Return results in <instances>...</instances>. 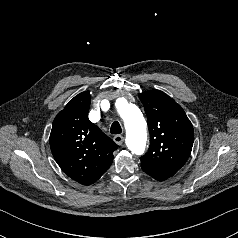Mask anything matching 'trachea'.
Instances as JSON below:
<instances>
[{
	"instance_id": "obj_1",
	"label": "trachea",
	"mask_w": 238,
	"mask_h": 238,
	"mask_svg": "<svg viewBox=\"0 0 238 238\" xmlns=\"http://www.w3.org/2000/svg\"><path fill=\"white\" fill-rule=\"evenodd\" d=\"M110 132L111 134H120L122 132L119 122L115 121L112 123Z\"/></svg>"
}]
</instances>
